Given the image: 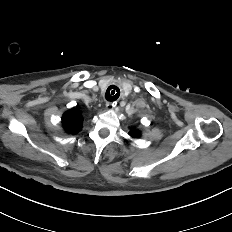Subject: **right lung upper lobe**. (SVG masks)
<instances>
[{
    "instance_id": "1",
    "label": "right lung upper lobe",
    "mask_w": 232,
    "mask_h": 232,
    "mask_svg": "<svg viewBox=\"0 0 232 232\" xmlns=\"http://www.w3.org/2000/svg\"><path fill=\"white\" fill-rule=\"evenodd\" d=\"M62 124L67 133L76 134L82 129V116L77 107L64 113Z\"/></svg>"
}]
</instances>
